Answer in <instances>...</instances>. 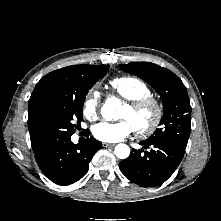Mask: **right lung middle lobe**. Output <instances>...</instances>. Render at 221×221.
I'll list each match as a JSON object with an SVG mask.
<instances>
[{"label": "right lung middle lobe", "instance_id": "obj_1", "mask_svg": "<svg viewBox=\"0 0 221 221\" xmlns=\"http://www.w3.org/2000/svg\"><path fill=\"white\" fill-rule=\"evenodd\" d=\"M109 65L63 90L42 106L33 121L38 148L60 138L69 137L83 120V104L88 91L108 71Z\"/></svg>", "mask_w": 221, "mask_h": 221}]
</instances>
